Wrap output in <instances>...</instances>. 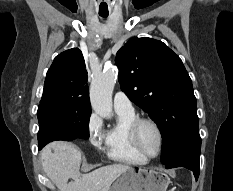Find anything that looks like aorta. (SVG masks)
<instances>
[{"mask_svg": "<svg viewBox=\"0 0 233 191\" xmlns=\"http://www.w3.org/2000/svg\"><path fill=\"white\" fill-rule=\"evenodd\" d=\"M117 69L108 67L93 78L90 87V101L93 110L104 118L112 117V92L117 79Z\"/></svg>", "mask_w": 233, "mask_h": 191, "instance_id": "aorta-1", "label": "aorta"}]
</instances>
